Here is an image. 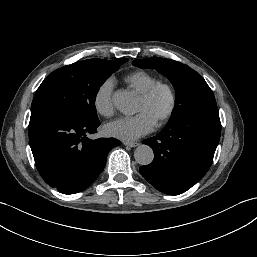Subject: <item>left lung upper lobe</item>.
Listing matches in <instances>:
<instances>
[{"label":"left lung upper lobe","mask_w":257,"mask_h":257,"mask_svg":"<svg viewBox=\"0 0 257 257\" xmlns=\"http://www.w3.org/2000/svg\"><path fill=\"white\" fill-rule=\"evenodd\" d=\"M133 65L156 69L172 82L176 89V101L168 123L178 121L202 108L217 105L206 81L187 65L160 57L134 60Z\"/></svg>","instance_id":"left-lung-upper-lobe-1"}]
</instances>
